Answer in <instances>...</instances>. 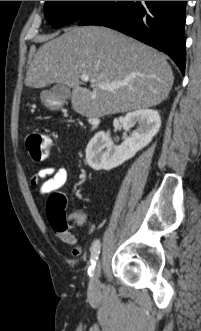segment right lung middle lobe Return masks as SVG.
Listing matches in <instances>:
<instances>
[{"label": "right lung middle lobe", "instance_id": "1", "mask_svg": "<svg viewBox=\"0 0 201 331\" xmlns=\"http://www.w3.org/2000/svg\"><path fill=\"white\" fill-rule=\"evenodd\" d=\"M104 1H46L44 13L53 27L79 21L90 10Z\"/></svg>", "mask_w": 201, "mask_h": 331}]
</instances>
